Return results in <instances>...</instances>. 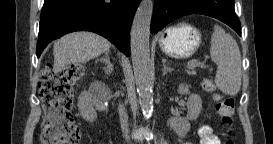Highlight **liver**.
Returning a JSON list of instances; mask_svg holds the SVG:
<instances>
[{"instance_id": "6515ba94", "label": "liver", "mask_w": 273, "mask_h": 144, "mask_svg": "<svg viewBox=\"0 0 273 144\" xmlns=\"http://www.w3.org/2000/svg\"><path fill=\"white\" fill-rule=\"evenodd\" d=\"M111 43L92 32H74L55 42L53 48L55 73L70 64L85 63L109 50Z\"/></svg>"}]
</instances>
